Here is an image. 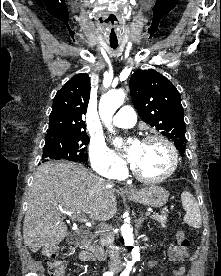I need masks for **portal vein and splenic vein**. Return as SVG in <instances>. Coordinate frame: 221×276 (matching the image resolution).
Listing matches in <instances>:
<instances>
[{"instance_id": "18ae733b", "label": "portal vein and splenic vein", "mask_w": 221, "mask_h": 276, "mask_svg": "<svg viewBox=\"0 0 221 276\" xmlns=\"http://www.w3.org/2000/svg\"><path fill=\"white\" fill-rule=\"evenodd\" d=\"M145 214H146V216H149L151 213L146 212ZM68 215H70V214L68 213ZM73 218L78 220L79 222L86 223L87 225L90 224L88 222V219L86 218V216L83 213L77 214V215L73 216Z\"/></svg>"}]
</instances>
